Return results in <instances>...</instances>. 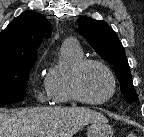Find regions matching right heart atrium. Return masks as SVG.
<instances>
[{
    "label": "right heart atrium",
    "mask_w": 144,
    "mask_h": 137,
    "mask_svg": "<svg viewBox=\"0 0 144 137\" xmlns=\"http://www.w3.org/2000/svg\"><path fill=\"white\" fill-rule=\"evenodd\" d=\"M35 95L40 102H48L51 100L50 94L46 85L43 88H34Z\"/></svg>",
    "instance_id": "right-heart-atrium-1"
}]
</instances>
